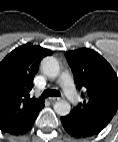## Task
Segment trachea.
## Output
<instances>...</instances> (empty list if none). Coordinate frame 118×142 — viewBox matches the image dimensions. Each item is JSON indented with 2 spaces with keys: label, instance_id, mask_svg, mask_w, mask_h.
Masks as SVG:
<instances>
[{
  "label": "trachea",
  "instance_id": "trachea-1",
  "mask_svg": "<svg viewBox=\"0 0 118 142\" xmlns=\"http://www.w3.org/2000/svg\"><path fill=\"white\" fill-rule=\"evenodd\" d=\"M48 96H59V93L56 90H46L44 91V93L42 94V97H48Z\"/></svg>",
  "mask_w": 118,
  "mask_h": 142
}]
</instances>
